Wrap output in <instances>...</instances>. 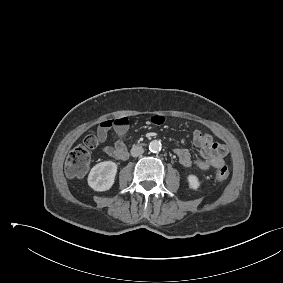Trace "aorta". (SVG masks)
Listing matches in <instances>:
<instances>
[{
	"mask_svg": "<svg viewBox=\"0 0 283 283\" xmlns=\"http://www.w3.org/2000/svg\"><path fill=\"white\" fill-rule=\"evenodd\" d=\"M161 148H162V145L159 141L157 140H154V141H151L150 144H149V150L150 152L152 153H158L161 151Z\"/></svg>",
	"mask_w": 283,
	"mask_h": 283,
	"instance_id": "aorta-1",
	"label": "aorta"
}]
</instances>
